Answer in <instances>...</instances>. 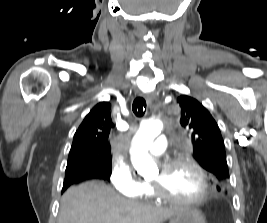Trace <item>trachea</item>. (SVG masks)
<instances>
[{"instance_id": "trachea-1", "label": "trachea", "mask_w": 267, "mask_h": 223, "mask_svg": "<svg viewBox=\"0 0 267 223\" xmlns=\"http://www.w3.org/2000/svg\"><path fill=\"white\" fill-rule=\"evenodd\" d=\"M145 108L146 110V101L144 98L142 97H137L135 98V100L133 101V105H132V110L134 112V114L138 117H141L144 115V111L143 109Z\"/></svg>"}]
</instances>
